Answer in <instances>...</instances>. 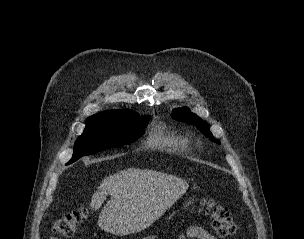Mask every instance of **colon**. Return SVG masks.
Here are the masks:
<instances>
[{
  "label": "colon",
  "mask_w": 304,
  "mask_h": 239,
  "mask_svg": "<svg viewBox=\"0 0 304 239\" xmlns=\"http://www.w3.org/2000/svg\"><path fill=\"white\" fill-rule=\"evenodd\" d=\"M203 209L211 217L212 228L220 237H230L237 233L235 224L229 210L217 204L213 199L202 201ZM87 217V210L79 208L60 218L53 224V232L60 237H71Z\"/></svg>",
  "instance_id": "colon-1"
}]
</instances>
